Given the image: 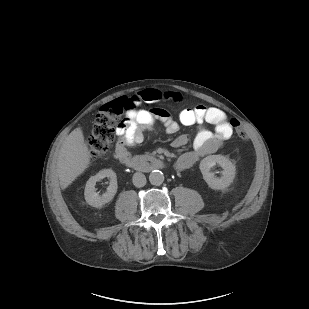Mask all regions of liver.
I'll return each mask as SVG.
<instances>
[{
  "mask_svg": "<svg viewBox=\"0 0 309 309\" xmlns=\"http://www.w3.org/2000/svg\"><path fill=\"white\" fill-rule=\"evenodd\" d=\"M90 153L80 127L74 129L61 146L57 159L60 186L66 189L88 168Z\"/></svg>",
  "mask_w": 309,
  "mask_h": 309,
  "instance_id": "liver-1",
  "label": "liver"
}]
</instances>
